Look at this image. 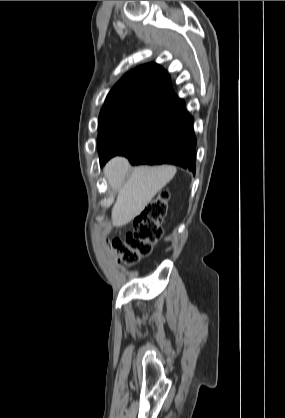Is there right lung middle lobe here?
Here are the masks:
<instances>
[{
    "mask_svg": "<svg viewBox=\"0 0 285 418\" xmlns=\"http://www.w3.org/2000/svg\"><path fill=\"white\" fill-rule=\"evenodd\" d=\"M173 109L139 102L104 107L98 120L100 159L120 154L173 114Z\"/></svg>",
    "mask_w": 285,
    "mask_h": 418,
    "instance_id": "right-lung-middle-lobe-1",
    "label": "right lung middle lobe"
}]
</instances>
